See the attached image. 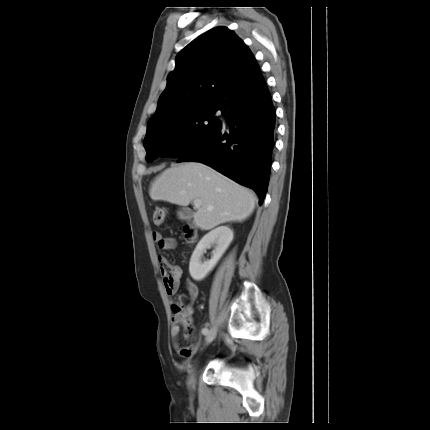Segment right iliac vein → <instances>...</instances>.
Masks as SVG:
<instances>
[{
    "label": "right iliac vein",
    "mask_w": 430,
    "mask_h": 430,
    "mask_svg": "<svg viewBox=\"0 0 430 430\" xmlns=\"http://www.w3.org/2000/svg\"><path fill=\"white\" fill-rule=\"evenodd\" d=\"M215 337H216V330L211 329L205 337V345L210 344L215 339ZM188 383L192 388L194 387V384H195L194 374L190 375Z\"/></svg>",
    "instance_id": "right-iliac-vein-1"
}]
</instances>
